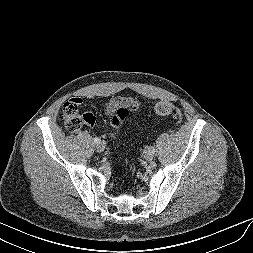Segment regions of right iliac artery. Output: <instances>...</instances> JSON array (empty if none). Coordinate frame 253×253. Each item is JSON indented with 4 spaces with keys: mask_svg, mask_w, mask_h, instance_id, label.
Returning a JSON list of instances; mask_svg holds the SVG:
<instances>
[{
    "mask_svg": "<svg viewBox=\"0 0 253 253\" xmlns=\"http://www.w3.org/2000/svg\"><path fill=\"white\" fill-rule=\"evenodd\" d=\"M100 141H101V140H100L98 137L94 138V143H95V144L100 143Z\"/></svg>",
    "mask_w": 253,
    "mask_h": 253,
    "instance_id": "right-iliac-artery-1",
    "label": "right iliac artery"
}]
</instances>
